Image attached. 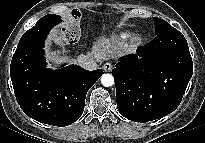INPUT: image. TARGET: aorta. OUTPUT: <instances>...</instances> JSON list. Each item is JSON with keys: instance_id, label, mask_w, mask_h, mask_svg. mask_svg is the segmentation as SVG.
<instances>
[{"instance_id": "obj_1", "label": "aorta", "mask_w": 205, "mask_h": 143, "mask_svg": "<svg viewBox=\"0 0 205 143\" xmlns=\"http://www.w3.org/2000/svg\"><path fill=\"white\" fill-rule=\"evenodd\" d=\"M101 83L105 87H110L114 84V77L111 74H103L101 77Z\"/></svg>"}]
</instances>
